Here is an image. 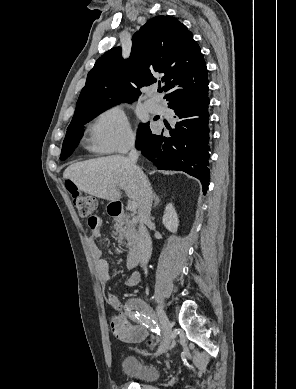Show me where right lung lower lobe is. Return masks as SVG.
Instances as JSON below:
<instances>
[{
  "instance_id": "1",
  "label": "right lung lower lobe",
  "mask_w": 296,
  "mask_h": 389,
  "mask_svg": "<svg viewBox=\"0 0 296 389\" xmlns=\"http://www.w3.org/2000/svg\"><path fill=\"white\" fill-rule=\"evenodd\" d=\"M208 87L191 96L181 97L169 105L177 123L170 137L152 133L138 149L154 160L160 170H181L201 181L204 194L209 185L210 128Z\"/></svg>"
}]
</instances>
